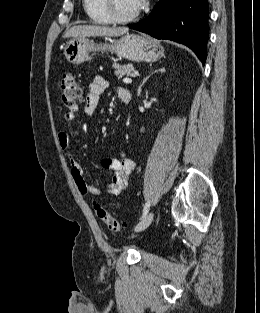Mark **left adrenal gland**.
<instances>
[{"instance_id":"left-adrenal-gland-1","label":"left adrenal gland","mask_w":260,"mask_h":313,"mask_svg":"<svg viewBox=\"0 0 260 313\" xmlns=\"http://www.w3.org/2000/svg\"><path fill=\"white\" fill-rule=\"evenodd\" d=\"M165 71V69L164 68H161V69H157V70H155V71H153L151 74H149L144 80H143V82L139 85V87H138V96H140V94H141V91H142V86L146 83V81L151 77V75H153L154 73H158V72H164Z\"/></svg>"}]
</instances>
